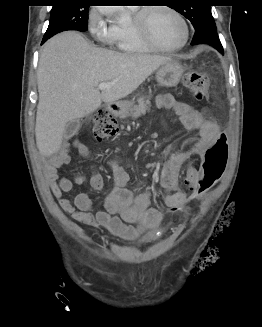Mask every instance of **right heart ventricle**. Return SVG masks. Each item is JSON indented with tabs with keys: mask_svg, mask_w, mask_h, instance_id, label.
Returning <instances> with one entry per match:
<instances>
[{
	"mask_svg": "<svg viewBox=\"0 0 262 327\" xmlns=\"http://www.w3.org/2000/svg\"><path fill=\"white\" fill-rule=\"evenodd\" d=\"M136 10H132V14H135ZM115 39L114 44L116 47L127 53L133 54H146L155 51L149 47L137 34L132 26V22L128 24L116 23L114 25Z\"/></svg>",
	"mask_w": 262,
	"mask_h": 327,
	"instance_id": "obj_1",
	"label": "right heart ventricle"
}]
</instances>
